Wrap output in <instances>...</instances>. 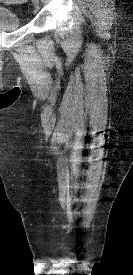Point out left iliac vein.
Segmentation results:
<instances>
[{"label": "left iliac vein", "mask_w": 133, "mask_h": 275, "mask_svg": "<svg viewBox=\"0 0 133 275\" xmlns=\"http://www.w3.org/2000/svg\"><path fill=\"white\" fill-rule=\"evenodd\" d=\"M34 3H38L39 0H32Z\"/></svg>", "instance_id": "left-iliac-vein-1"}]
</instances>
